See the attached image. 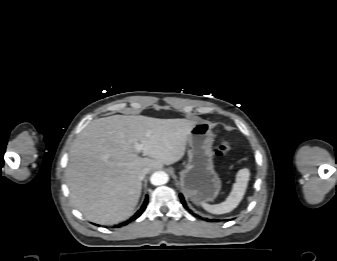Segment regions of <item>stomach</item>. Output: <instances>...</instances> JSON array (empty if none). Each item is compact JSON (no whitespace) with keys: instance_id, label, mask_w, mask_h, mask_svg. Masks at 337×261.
Returning a JSON list of instances; mask_svg holds the SVG:
<instances>
[{"instance_id":"obj_1","label":"stomach","mask_w":337,"mask_h":261,"mask_svg":"<svg viewBox=\"0 0 337 261\" xmlns=\"http://www.w3.org/2000/svg\"><path fill=\"white\" fill-rule=\"evenodd\" d=\"M214 134L211 124L197 122L188 138V160L180 171L179 185L195 204L213 201L221 190V180L214 169Z\"/></svg>"}]
</instances>
